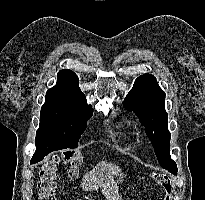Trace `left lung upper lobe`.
<instances>
[{
    "instance_id": "left-lung-upper-lobe-1",
    "label": "left lung upper lobe",
    "mask_w": 205,
    "mask_h": 200,
    "mask_svg": "<svg viewBox=\"0 0 205 200\" xmlns=\"http://www.w3.org/2000/svg\"><path fill=\"white\" fill-rule=\"evenodd\" d=\"M124 107L132 110L146 127L145 131L151 140L160 166L174 169L176 163L170 157V132L168 117L165 111V92L151 74L139 76L124 101Z\"/></svg>"
}]
</instances>
